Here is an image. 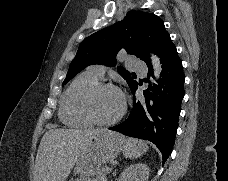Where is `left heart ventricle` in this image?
Wrapping results in <instances>:
<instances>
[{
  "label": "left heart ventricle",
  "mask_w": 228,
  "mask_h": 181,
  "mask_svg": "<svg viewBox=\"0 0 228 181\" xmlns=\"http://www.w3.org/2000/svg\"><path fill=\"white\" fill-rule=\"evenodd\" d=\"M122 98L118 91L107 88L100 91L94 103L97 115L102 119L114 117L121 109Z\"/></svg>",
  "instance_id": "obj_1"
}]
</instances>
